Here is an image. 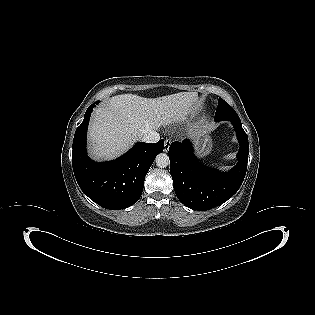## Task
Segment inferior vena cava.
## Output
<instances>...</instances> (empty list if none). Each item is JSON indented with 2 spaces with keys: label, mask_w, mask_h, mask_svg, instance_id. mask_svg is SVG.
I'll return each mask as SVG.
<instances>
[{
  "label": "inferior vena cava",
  "mask_w": 315,
  "mask_h": 315,
  "mask_svg": "<svg viewBox=\"0 0 315 315\" xmlns=\"http://www.w3.org/2000/svg\"><path fill=\"white\" fill-rule=\"evenodd\" d=\"M160 139L159 134L156 131H151L149 133L144 134L141 137V140L146 143H156Z\"/></svg>",
  "instance_id": "obj_1"
}]
</instances>
